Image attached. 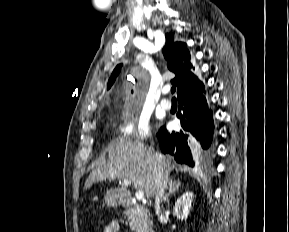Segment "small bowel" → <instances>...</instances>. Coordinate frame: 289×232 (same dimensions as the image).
<instances>
[{"instance_id": "1", "label": "small bowel", "mask_w": 289, "mask_h": 232, "mask_svg": "<svg viewBox=\"0 0 289 232\" xmlns=\"http://www.w3.org/2000/svg\"><path fill=\"white\" fill-rule=\"evenodd\" d=\"M120 225L117 221H111L105 227L103 232H119Z\"/></svg>"}]
</instances>
